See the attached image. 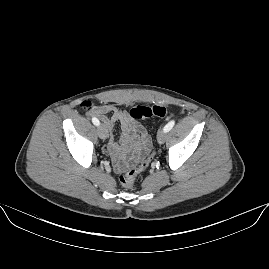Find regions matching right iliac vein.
<instances>
[{
	"label": "right iliac vein",
	"mask_w": 269,
	"mask_h": 269,
	"mask_svg": "<svg viewBox=\"0 0 269 269\" xmlns=\"http://www.w3.org/2000/svg\"><path fill=\"white\" fill-rule=\"evenodd\" d=\"M98 136L102 139L105 140L108 136V130L105 125L101 124L99 125L98 129Z\"/></svg>",
	"instance_id": "63e3f726"
}]
</instances>
